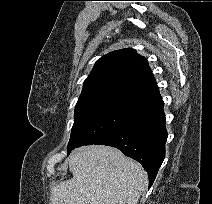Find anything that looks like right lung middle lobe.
<instances>
[{"label": "right lung middle lobe", "mask_w": 212, "mask_h": 204, "mask_svg": "<svg viewBox=\"0 0 212 204\" xmlns=\"http://www.w3.org/2000/svg\"><path fill=\"white\" fill-rule=\"evenodd\" d=\"M144 105L105 98L76 105L68 153L76 147L94 144L130 121Z\"/></svg>", "instance_id": "right-lung-middle-lobe-1"}]
</instances>
